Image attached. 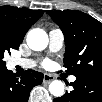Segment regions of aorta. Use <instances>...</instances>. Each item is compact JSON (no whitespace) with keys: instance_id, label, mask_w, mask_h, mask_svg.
I'll use <instances>...</instances> for the list:
<instances>
[{"instance_id":"obj_1","label":"aorta","mask_w":102,"mask_h":102,"mask_svg":"<svg viewBox=\"0 0 102 102\" xmlns=\"http://www.w3.org/2000/svg\"><path fill=\"white\" fill-rule=\"evenodd\" d=\"M26 41L30 49L42 51L48 45V35L44 30L35 28L28 32ZM49 92L55 97L63 96L65 92L63 82L60 80L52 81L49 85Z\"/></svg>"}]
</instances>
